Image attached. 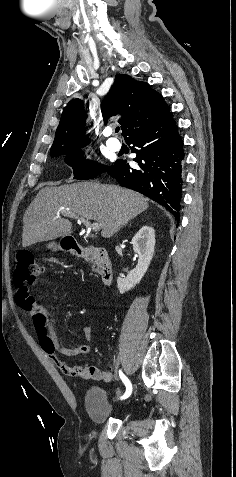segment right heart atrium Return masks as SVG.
Returning a JSON list of instances; mask_svg holds the SVG:
<instances>
[{
	"label": "right heart atrium",
	"mask_w": 236,
	"mask_h": 477,
	"mask_svg": "<svg viewBox=\"0 0 236 477\" xmlns=\"http://www.w3.org/2000/svg\"><path fill=\"white\" fill-rule=\"evenodd\" d=\"M80 161H81L82 164H87L88 161H89V157L86 154H82L80 156Z\"/></svg>",
	"instance_id": "d8ad5b80"
}]
</instances>
